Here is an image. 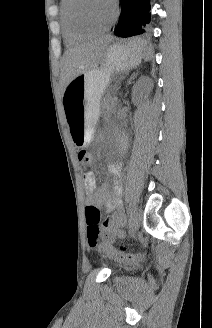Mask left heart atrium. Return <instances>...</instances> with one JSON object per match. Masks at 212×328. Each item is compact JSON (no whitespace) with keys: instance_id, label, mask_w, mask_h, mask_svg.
<instances>
[{"instance_id":"1","label":"left heart atrium","mask_w":212,"mask_h":328,"mask_svg":"<svg viewBox=\"0 0 212 328\" xmlns=\"http://www.w3.org/2000/svg\"><path fill=\"white\" fill-rule=\"evenodd\" d=\"M109 2H110L112 5H114L115 0H109Z\"/></svg>"}]
</instances>
